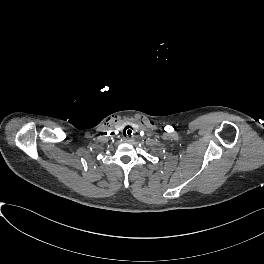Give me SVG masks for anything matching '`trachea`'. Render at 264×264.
<instances>
[{
    "mask_svg": "<svg viewBox=\"0 0 264 264\" xmlns=\"http://www.w3.org/2000/svg\"><path fill=\"white\" fill-rule=\"evenodd\" d=\"M123 135L125 137H131L133 135V127L131 126H126L123 130Z\"/></svg>",
    "mask_w": 264,
    "mask_h": 264,
    "instance_id": "obj_1",
    "label": "trachea"
}]
</instances>
